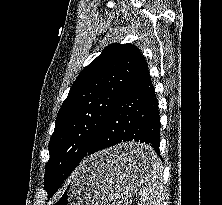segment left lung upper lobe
I'll return each mask as SVG.
<instances>
[{
	"instance_id": "5c2ea615",
	"label": "left lung upper lobe",
	"mask_w": 222,
	"mask_h": 205,
	"mask_svg": "<svg viewBox=\"0 0 222 205\" xmlns=\"http://www.w3.org/2000/svg\"><path fill=\"white\" fill-rule=\"evenodd\" d=\"M142 58L136 46L115 43L81 71L59 110L49 142L44 180L48 194L62 177L57 160L68 151L88 152Z\"/></svg>"
}]
</instances>
